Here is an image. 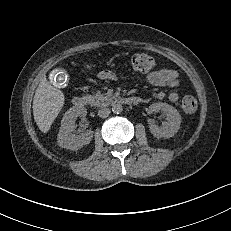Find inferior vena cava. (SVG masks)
<instances>
[{"mask_svg":"<svg viewBox=\"0 0 231 231\" xmlns=\"http://www.w3.org/2000/svg\"><path fill=\"white\" fill-rule=\"evenodd\" d=\"M110 112L111 111L109 108L103 107L98 110V116L101 118H106L109 116Z\"/></svg>","mask_w":231,"mask_h":231,"instance_id":"1","label":"inferior vena cava"}]
</instances>
